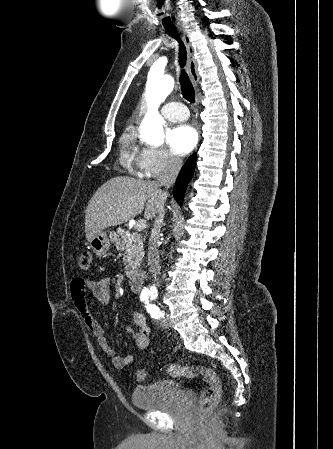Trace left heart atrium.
Wrapping results in <instances>:
<instances>
[{
    "mask_svg": "<svg viewBox=\"0 0 333 449\" xmlns=\"http://www.w3.org/2000/svg\"><path fill=\"white\" fill-rule=\"evenodd\" d=\"M197 139L196 130L188 124L177 125L167 134L168 144L177 155L190 152L195 147Z\"/></svg>",
    "mask_w": 333,
    "mask_h": 449,
    "instance_id": "1",
    "label": "left heart atrium"
}]
</instances>
